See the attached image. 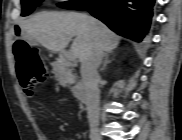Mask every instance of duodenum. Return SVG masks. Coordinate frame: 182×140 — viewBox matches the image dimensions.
Segmentation results:
<instances>
[{
  "label": "duodenum",
  "mask_w": 182,
  "mask_h": 140,
  "mask_svg": "<svg viewBox=\"0 0 182 140\" xmlns=\"http://www.w3.org/2000/svg\"><path fill=\"white\" fill-rule=\"evenodd\" d=\"M75 97L79 102L86 103L87 94L83 87H81V86L75 87Z\"/></svg>",
  "instance_id": "410a0bca"
}]
</instances>
